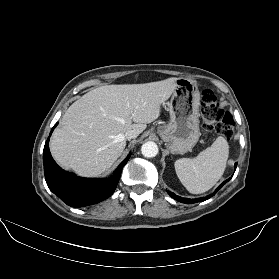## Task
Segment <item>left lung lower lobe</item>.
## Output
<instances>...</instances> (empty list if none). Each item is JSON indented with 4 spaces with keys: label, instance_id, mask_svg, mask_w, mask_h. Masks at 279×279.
Masks as SVG:
<instances>
[{
    "label": "left lung lower lobe",
    "instance_id": "1",
    "mask_svg": "<svg viewBox=\"0 0 279 279\" xmlns=\"http://www.w3.org/2000/svg\"><path fill=\"white\" fill-rule=\"evenodd\" d=\"M237 163L235 164V169H236ZM231 178L227 179L226 181H224L217 189L216 191L213 192L212 196L220 189L223 187V185L228 182ZM168 194L175 200L182 202V203H186V204H191V203H196V202H201L204 201L206 199H208V196L205 198H199V199H189V198H182L180 196L175 195L173 192L168 191Z\"/></svg>",
    "mask_w": 279,
    "mask_h": 279
}]
</instances>
